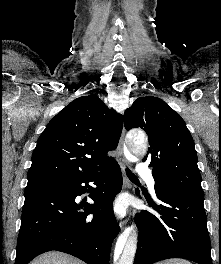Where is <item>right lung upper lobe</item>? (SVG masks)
<instances>
[{
    "label": "right lung upper lobe",
    "instance_id": "obj_1",
    "mask_svg": "<svg viewBox=\"0 0 221 264\" xmlns=\"http://www.w3.org/2000/svg\"><path fill=\"white\" fill-rule=\"evenodd\" d=\"M123 117L96 95L82 96L61 110L40 135L26 189L93 174L114 158Z\"/></svg>",
    "mask_w": 221,
    "mask_h": 264
}]
</instances>
